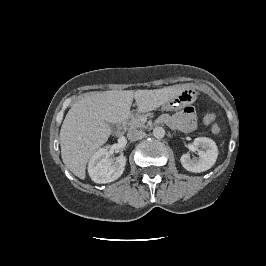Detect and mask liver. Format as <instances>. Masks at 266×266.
Listing matches in <instances>:
<instances>
[{
  "label": "liver",
  "instance_id": "obj_1",
  "mask_svg": "<svg viewBox=\"0 0 266 266\" xmlns=\"http://www.w3.org/2000/svg\"><path fill=\"white\" fill-rule=\"evenodd\" d=\"M183 87L86 94L72 105L60 130L61 156L65 166L78 178L85 179L87 163L111 135L110 124L129 118L133 99L139 112H148L165 104Z\"/></svg>",
  "mask_w": 266,
  "mask_h": 266
}]
</instances>
